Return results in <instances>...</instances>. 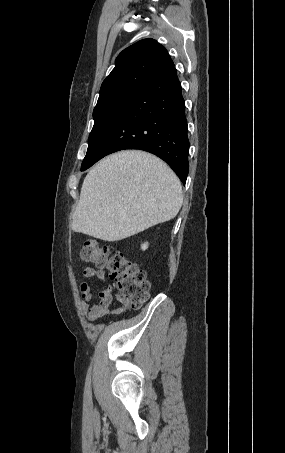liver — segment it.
Here are the masks:
<instances>
[{
    "instance_id": "6515ba94",
    "label": "liver",
    "mask_w": 285,
    "mask_h": 453,
    "mask_svg": "<svg viewBox=\"0 0 285 453\" xmlns=\"http://www.w3.org/2000/svg\"><path fill=\"white\" fill-rule=\"evenodd\" d=\"M183 202L176 174L139 150L111 154L85 177L71 228L104 241H119L173 219Z\"/></svg>"
}]
</instances>
